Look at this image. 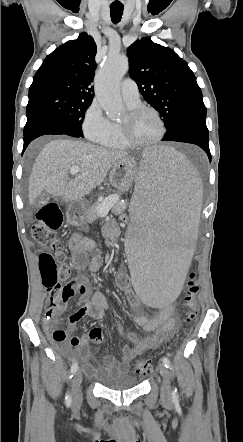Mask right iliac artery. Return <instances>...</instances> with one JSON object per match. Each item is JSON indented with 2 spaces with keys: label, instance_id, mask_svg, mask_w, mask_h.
I'll return each instance as SVG.
<instances>
[{
  "label": "right iliac artery",
  "instance_id": "82829eb1",
  "mask_svg": "<svg viewBox=\"0 0 243 442\" xmlns=\"http://www.w3.org/2000/svg\"><path fill=\"white\" fill-rule=\"evenodd\" d=\"M77 369H78V365H77V363H74V364L72 365V367H71V373L74 374V373L77 371ZM72 376H73V375H71L70 378H71ZM71 403H72L71 396H70L69 393H66V395H65V404H66V406L69 407V406L71 405Z\"/></svg>",
  "mask_w": 243,
  "mask_h": 442
}]
</instances>
